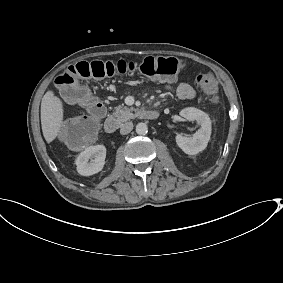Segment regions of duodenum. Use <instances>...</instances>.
<instances>
[{
    "label": "duodenum",
    "instance_id": "obj_1",
    "mask_svg": "<svg viewBox=\"0 0 283 283\" xmlns=\"http://www.w3.org/2000/svg\"><path fill=\"white\" fill-rule=\"evenodd\" d=\"M141 117L145 120H156L159 113L154 110L144 112ZM105 130L108 134H114L118 130V122L114 118H108L105 122Z\"/></svg>",
    "mask_w": 283,
    "mask_h": 283
}]
</instances>
